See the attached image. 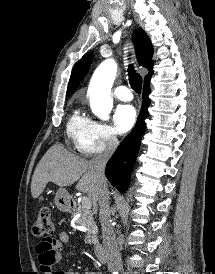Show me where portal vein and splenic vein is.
<instances>
[{
	"label": "portal vein and splenic vein",
	"instance_id": "obj_1",
	"mask_svg": "<svg viewBox=\"0 0 215 274\" xmlns=\"http://www.w3.org/2000/svg\"><path fill=\"white\" fill-rule=\"evenodd\" d=\"M91 200L88 197L82 198V207L89 210L91 208Z\"/></svg>",
	"mask_w": 215,
	"mask_h": 274
}]
</instances>
